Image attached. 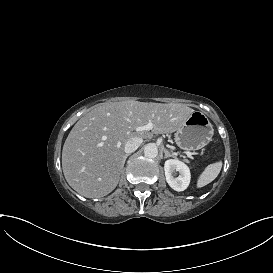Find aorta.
Masks as SVG:
<instances>
[{
    "label": "aorta",
    "mask_w": 273,
    "mask_h": 273,
    "mask_svg": "<svg viewBox=\"0 0 273 273\" xmlns=\"http://www.w3.org/2000/svg\"><path fill=\"white\" fill-rule=\"evenodd\" d=\"M144 154L148 158H155L158 155V148L154 143L146 144L144 147Z\"/></svg>",
    "instance_id": "762f6f07"
}]
</instances>
